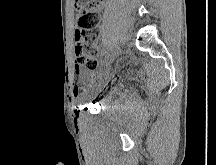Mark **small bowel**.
Here are the masks:
<instances>
[{
  "label": "small bowel",
  "instance_id": "obj_1",
  "mask_svg": "<svg viewBox=\"0 0 216 165\" xmlns=\"http://www.w3.org/2000/svg\"><path fill=\"white\" fill-rule=\"evenodd\" d=\"M102 10V7H100L99 9H98V11H101ZM78 73H79V70H78ZM83 78L85 79V80H88L89 79V77L87 76V75H83ZM80 92H82V90L80 89V88H75L74 89V91H73V96L76 98L79 94H80Z\"/></svg>",
  "mask_w": 216,
  "mask_h": 165
}]
</instances>
